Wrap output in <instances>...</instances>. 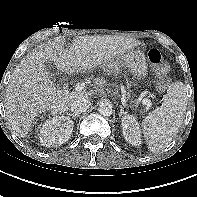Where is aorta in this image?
I'll return each mask as SVG.
<instances>
[{
	"mask_svg": "<svg viewBox=\"0 0 197 197\" xmlns=\"http://www.w3.org/2000/svg\"><path fill=\"white\" fill-rule=\"evenodd\" d=\"M98 111L101 115L109 117L113 113V105L111 102H101Z\"/></svg>",
	"mask_w": 197,
	"mask_h": 197,
	"instance_id": "1",
	"label": "aorta"
}]
</instances>
